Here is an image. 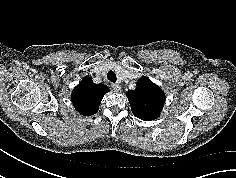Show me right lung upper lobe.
Segmentation results:
<instances>
[{"label": "right lung upper lobe", "instance_id": "cb5924a9", "mask_svg": "<svg viewBox=\"0 0 236 178\" xmlns=\"http://www.w3.org/2000/svg\"><path fill=\"white\" fill-rule=\"evenodd\" d=\"M107 92H109L107 86L94 84L90 77H84L74 88L71 100L80 114L89 116L98 112L102 98Z\"/></svg>", "mask_w": 236, "mask_h": 178}]
</instances>
